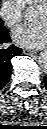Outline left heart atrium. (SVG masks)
I'll return each instance as SVG.
<instances>
[{
    "label": "left heart atrium",
    "instance_id": "left-heart-atrium-1",
    "mask_svg": "<svg viewBox=\"0 0 47 129\" xmlns=\"http://www.w3.org/2000/svg\"><path fill=\"white\" fill-rule=\"evenodd\" d=\"M13 40L20 46L40 48L47 41L46 22L27 23L17 28L13 33Z\"/></svg>",
    "mask_w": 47,
    "mask_h": 129
}]
</instances>
